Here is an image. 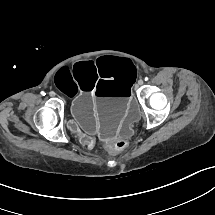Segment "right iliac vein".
Here are the masks:
<instances>
[{
  "instance_id": "right-iliac-vein-1",
  "label": "right iliac vein",
  "mask_w": 215,
  "mask_h": 215,
  "mask_svg": "<svg viewBox=\"0 0 215 215\" xmlns=\"http://www.w3.org/2000/svg\"><path fill=\"white\" fill-rule=\"evenodd\" d=\"M49 95H50L51 97H54V96L56 95V93H55L54 91H50V92H49Z\"/></svg>"
}]
</instances>
